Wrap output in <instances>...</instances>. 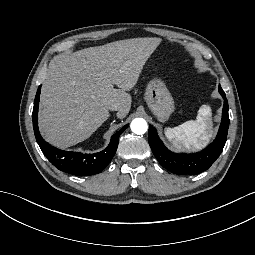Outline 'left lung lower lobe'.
Returning a JSON list of instances; mask_svg holds the SVG:
<instances>
[{
  "mask_svg": "<svg viewBox=\"0 0 255 255\" xmlns=\"http://www.w3.org/2000/svg\"><path fill=\"white\" fill-rule=\"evenodd\" d=\"M224 98L222 122L217 137L206 149L195 154H176L169 151L159 139L155 128L150 125L148 131L149 145L160 165L174 174L196 175L207 170L221 154L226 143L229 116L228 102L224 91L219 86Z\"/></svg>",
  "mask_w": 255,
  "mask_h": 255,
  "instance_id": "0a47b994",
  "label": "left lung lower lobe"
}]
</instances>
